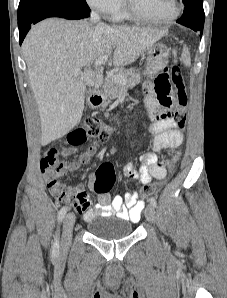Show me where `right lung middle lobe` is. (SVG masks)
I'll return each instance as SVG.
<instances>
[{"instance_id":"right-lung-middle-lobe-1","label":"right lung middle lobe","mask_w":227,"mask_h":298,"mask_svg":"<svg viewBox=\"0 0 227 298\" xmlns=\"http://www.w3.org/2000/svg\"><path fill=\"white\" fill-rule=\"evenodd\" d=\"M46 5H63L70 8L90 11L85 0H20L17 18Z\"/></svg>"}]
</instances>
